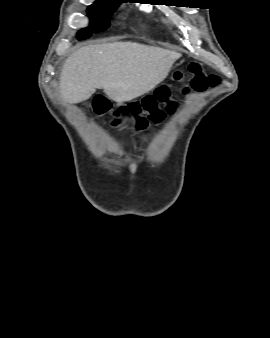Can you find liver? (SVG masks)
Masks as SVG:
<instances>
[{"label": "liver", "mask_w": 270, "mask_h": 338, "mask_svg": "<svg viewBox=\"0 0 270 338\" xmlns=\"http://www.w3.org/2000/svg\"><path fill=\"white\" fill-rule=\"evenodd\" d=\"M175 51L135 42H113L82 47L70 55L60 74L63 101L80 103L96 89L117 103L154 89L179 57Z\"/></svg>", "instance_id": "liver-1"}]
</instances>
